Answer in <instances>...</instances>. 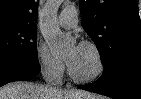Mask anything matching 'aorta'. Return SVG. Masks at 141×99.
<instances>
[{
  "mask_svg": "<svg viewBox=\"0 0 141 99\" xmlns=\"http://www.w3.org/2000/svg\"><path fill=\"white\" fill-rule=\"evenodd\" d=\"M62 0H48L41 22V33L53 55L63 54L70 48L73 40L59 29L56 19Z\"/></svg>",
  "mask_w": 141,
  "mask_h": 99,
  "instance_id": "aorta-1",
  "label": "aorta"
}]
</instances>
